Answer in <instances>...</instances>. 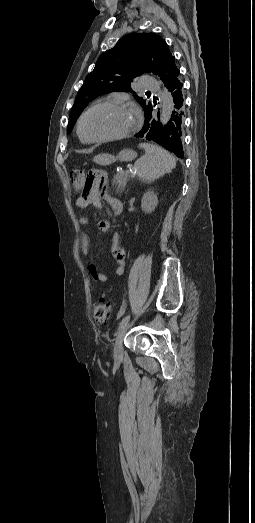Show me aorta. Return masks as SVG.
Returning <instances> with one entry per match:
<instances>
[{
  "mask_svg": "<svg viewBox=\"0 0 255 523\" xmlns=\"http://www.w3.org/2000/svg\"><path fill=\"white\" fill-rule=\"evenodd\" d=\"M172 96L169 92H165L162 96V111H161V123L165 124L172 114L173 101Z\"/></svg>",
  "mask_w": 255,
  "mask_h": 523,
  "instance_id": "762f6f07",
  "label": "aorta"
}]
</instances>
